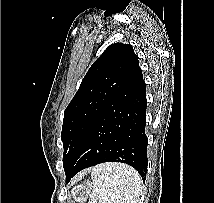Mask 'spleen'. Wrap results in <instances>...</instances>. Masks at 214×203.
<instances>
[{
	"label": "spleen",
	"mask_w": 214,
	"mask_h": 203,
	"mask_svg": "<svg viewBox=\"0 0 214 203\" xmlns=\"http://www.w3.org/2000/svg\"><path fill=\"white\" fill-rule=\"evenodd\" d=\"M93 189L89 203H138L142 179L125 164L106 163L92 169Z\"/></svg>",
	"instance_id": "3e777b00"
}]
</instances>
